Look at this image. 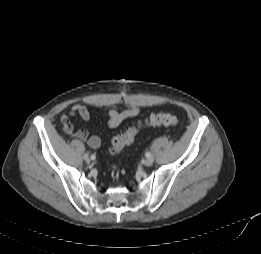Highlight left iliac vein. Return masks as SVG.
Returning <instances> with one entry per match:
<instances>
[{"instance_id":"4c4485c4","label":"left iliac vein","mask_w":261,"mask_h":254,"mask_svg":"<svg viewBox=\"0 0 261 254\" xmlns=\"http://www.w3.org/2000/svg\"><path fill=\"white\" fill-rule=\"evenodd\" d=\"M153 162H154V158H153V156H151V157L146 159L145 165L146 166H151L153 164Z\"/></svg>"}]
</instances>
